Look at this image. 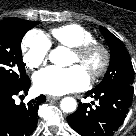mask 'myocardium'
<instances>
[{
  "mask_svg": "<svg viewBox=\"0 0 136 136\" xmlns=\"http://www.w3.org/2000/svg\"><path fill=\"white\" fill-rule=\"evenodd\" d=\"M94 51H99L101 53V61L96 67L89 70L88 76L91 81H96L107 71L111 61V54L108 47L105 44L94 40L80 44L73 48V53L80 61H83Z\"/></svg>",
  "mask_w": 136,
  "mask_h": 136,
  "instance_id": "myocardium-1",
  "label": "myocardium"
}]
</instances>
